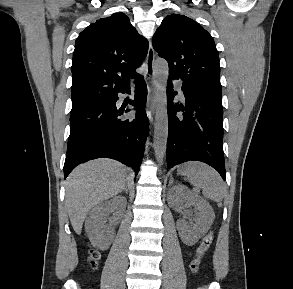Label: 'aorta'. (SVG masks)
<instances>
[{
    "mask_svg": "<svg viewBox=\"0 0 293 289\" xmlns=\"http://www.w3.org/2000/svg\"><path fill=\"white\" fill-rule=\"evenodd\" d=\"M168 64L163 59H158L154 65V77L157 87V107L154 122V150L159 163H162L166 153L168 138L167 115V79Z\"/></svg>",
    "mask_w": 293,
    "mask_h": 289,
    "instance_id": "obj_1",
    "label": "aorta"
}]
</instances>
